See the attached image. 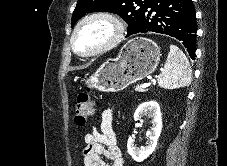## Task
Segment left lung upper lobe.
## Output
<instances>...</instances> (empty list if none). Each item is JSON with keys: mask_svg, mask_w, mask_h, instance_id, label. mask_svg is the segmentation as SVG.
Returning a JSON list of instances; mask_svg holds the SVG:
<instances>
[{"mask_svg": "<svg viewBox=\"0 0 227 166\" xmlns=\"http://www.w3.org/2000/svg\"><path fill=\"white\" fill-rule=\"evenodd\" d=\"M147 0H78L72 15L71 25L87 13L102 11L120 15L129 25L127 36L140 26Z\"/></svg>", "mask_w": 227, "mask_h": 166, "instance_id": "obj_1", "label": "left lung upper lobe"}]
</instances>
